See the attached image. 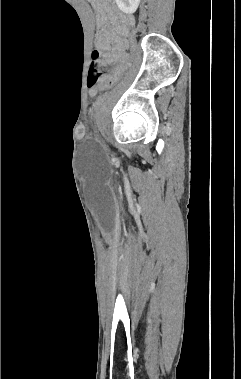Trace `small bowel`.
<instances>
[{
    "mask_svg": "<svg viewBox=\"0 0 241 379\" xmlns=\"http://www.w3.org/2000/svg\"><path fill=\"white\" fill-rule=\"evenodd\" d=\"M94 2L98 23L95 46L103 53L104 62L110 64L120 52L118 36L125 33L128 24L132 21L130 17L114 8L112 0H94ZM89 93L94 96L97 89L90 88Z\"/></svg>",
    "mask_w": 241,
    "mask_h": 379,
    "instance_id": "small-bowel-1",
    "label": "small bowel"
}]
</instances>
